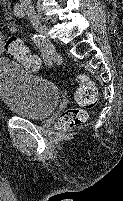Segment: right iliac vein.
<instances>
[{"label":"right iliac vein","mask_w":123,"mask_h":201,"mask_svg":"<svg viewBox=\"0 0 123 201\" xmlns=\"http://www.w3.org/2000/svg\"><path fill=\"white\" fill-rule=\"evenodd\" d=\"M26 11L28 14V17L34 26V28L43 35V37L46 39V44H49V39H48V31L47 27L42 24L39 16L36 14L35 10L32 7H26Z\"/></svg>","instance_id":"1"}]
</instances>
